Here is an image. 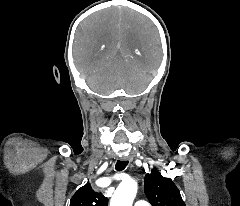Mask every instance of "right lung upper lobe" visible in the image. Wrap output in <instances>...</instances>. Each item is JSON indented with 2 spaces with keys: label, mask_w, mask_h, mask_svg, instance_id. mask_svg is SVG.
<instances>
[{
  "label": "right lung upper lobe",
  "mask_w": 240,
  "mask_h": 206,
  "mask_svg": "<svg viewBox=\"0 0 240 206\" xmlns=\"http://www.w3.org/2000/svg\"><path fill=\"white\" fill-rule=\"evenodd\" d=\"M70 206H108V198L95 192L87 183L73 195Z\"/></svg>",
  "instance_id": "obj_1"
}]
</instances>
